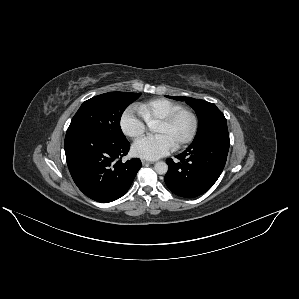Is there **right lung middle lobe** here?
I'll return each instance as SVG.
<instances>
[{"label":"right lung middle lobe","instance_id":"dd1d6c3e","mask_svg":"<svg viewBox=\"0 0 299 299\" xmlns=\"http://www.w3.org/2000/svg\"><path fill=\"white\" fill-rule=\"evenodd\" d=\"M138 93L109 92L85 101L71 120L67 132L94 130L117 141L126 140L121 127L122 113L139 98Z\"/></svg>","mask_w":299,"mask_h":299}]
</instances>
